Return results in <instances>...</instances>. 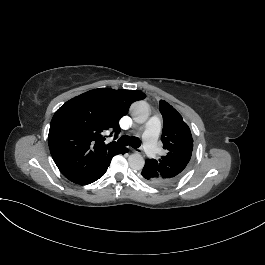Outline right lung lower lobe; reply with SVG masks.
I'll return each instance as SVG.
<instances>
[{
    "label": "right lung lower lobe",
    "mask_w": 265,
    "mask_h": 265,
    "mask_svg": "<svg viewBox=\"0 0 265 265\" xmlns=\"http://www.w3.org/2000/svg\"><path fill=\"white\" fill-rule=\"evenodd\" d=\"M126 152H127V148H123V150L121 151L122 154H124V153H126ZM106 171H107V169H106ZM106 171H105V172H106ZM104 174H105V173H104ZM104 174H103V175H104ZM103 175H102V176H103Z\"/></svg>",
    "instance_id": "98d812e1"
}]
</instances>
